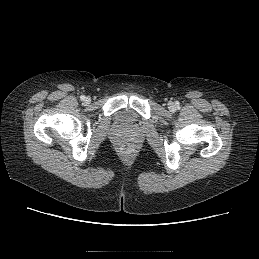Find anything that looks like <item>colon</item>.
Returning a JSON list of instances; mask_svg holds the SVG:
<instances>
[{"label":"colon","mask_w":259,"mask_h":259,"mask_svg":"<svg viewBox=\"0 0 259 259\" xmlns=\"http://www.w3.org/2000/svg\"><path fill=\"white\" fill-rule=\"evenodd\" d=\"M135 149L134 146L130 143H124L121 146V152L125 155V156H131L134 153Z\"/></svg>","instance_id":"1"}]
</instances>
